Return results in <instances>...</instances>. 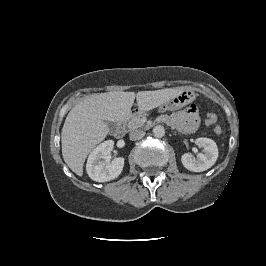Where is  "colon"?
<instances>
[{
    "mask_svg": "<svg viewBox=\"0 0 266 266\" xmlns=\"http://www.w3.org/2000/svg\"><path fill=\"white\" fill-rule=\"evenodd\" d=\"M205 122L208 125H214L217 122V116L213 113H208L206 115ZM213 130L216 134H220L222 132L221 127L218 125H215Z\"/></svg>",
    "mask_w": 266,
    "mask_h": 266,
    "instance_id": "colon-1",
    "label": "colon"
}]
</instances>
